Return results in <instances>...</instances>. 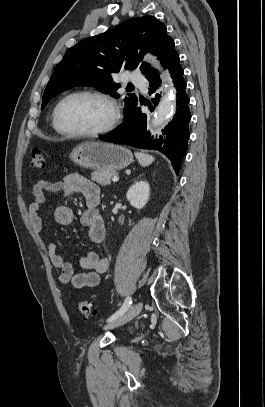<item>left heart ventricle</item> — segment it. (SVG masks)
Here are the masks:
<instances>
[{
    "instance_id": "1",
    "label": "left heart ventricle",
    "mask_w": 265,
    "mask_h": 407,
    "mask_svg": "<svg viewBox=\"0 0 265 407\" xmlns=\"http://www.w3.org/2000/svg\"><path fill=\"white\" fill-rule=\"evenodd\" d=\"M111 111L104 102L76 96L61 107L60 122L64 129L74 132H90L104 127L110 120Z\"/></svg>"
}]
</instances>
